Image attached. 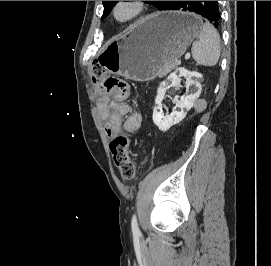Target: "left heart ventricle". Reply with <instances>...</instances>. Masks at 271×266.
<instances>
[{
	"mask_svg": "<svg viewBox=\"0 0 271 266\" xmlns=\"http://www.w3.org/2000/svg\"><path fill=\"white\" fill-rule=\"evenodd\" d=\"M128 12H129V8L124 7V8H122V9L120 10V15H121V16H125V15L128 14Z\"/></svg>",
	"mask_w": 271,
	"mask_h": 266,
	"instance_id": "obj_1",
	"label": "left heart ventricle"
}]
</instances>
